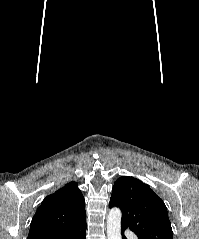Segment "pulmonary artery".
<instances>
[{
    "label": "pulmonary artery",
    "instance_id": "e3ab8cb5",
    "mask_svg": "<svg viewBox=\"0 0 199 239\" xmlns=\"http://www.w3.org/2000/svg\"><path fill=\"white\" fill-rule=\"evenodd\" d=\"M126 234H127V236H128L129 239H137L135 233H133V232L130 231V230H127V231H126Z\"/></svg>",
    "mask_w": 199,
    "mask_h": 239
}]
</instances>
